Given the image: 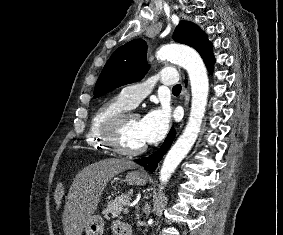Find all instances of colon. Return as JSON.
Masks as SVG:
<instances>
[{
  "label": "colon",
  "instance_id": "1",
  "mask_svg": "<svg viewBox=\"0 0 283 235\" xmlns=\"http://www.w3.org/2000/svg\"><path fill=\"white\" fill-rule=\"evenodd\" d=\"M64 192H65L64 185L61 183L58 184L54 191V201L56 205L61 204L64 197Z\"/></svg>",
  "mask_w": 283,
  "mask_h": 235
}]
</instances>
